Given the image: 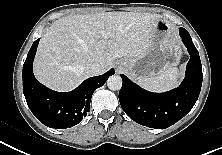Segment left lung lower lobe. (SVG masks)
<instances>
[{
    "instance_id": "0a47b994",
    "label": "left lung lower lobe",
    "mask_w": 222,
    "mask_h": 155,
    "mask_svg": "<svg viewBox=\"0 0 222 155\" xmlns=\"http://www.w3.org/2000/svg\"><path fill=\"white\" fill-rule=\"evenodd\" d=\"M179 32L190 60L185 78L178 88L165 93H151L121 74V107L131 119L141 125L156 129L167 128L183 118L198 99L203 78L199 53L187 30L180 28Z\"/></svg>"
}]
</instances>
